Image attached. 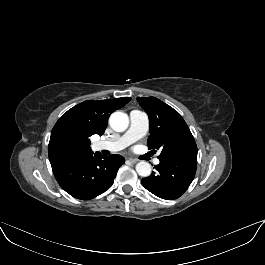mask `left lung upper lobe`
I'll list each match as a JSON object with an SVG mask.
<instances>
[{
	"mask_svg": "<svg viewBox=\"0 0 265 265\" xmlns=\"http://www.w3.org/2000/svg\"><path fill=\"white\" fill-rule=\"evenodd\" d=\"M137 100L149 117L147 145L149 149H161L159 159L197 157L194 137L176 110L155 97Z\"/></svg>",
	"mask_w": 265,
	"mask_h": 265,
	"instance_id": "obj_1",
	"label": "left lung upper lobe"
}]
</instances>
